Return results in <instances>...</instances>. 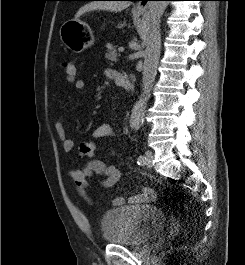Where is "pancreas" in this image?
Here are the masks:
<instances>
[{
  "label": "pancreas",
  "instance_id": "obj_1",
  "mask_svg": "<svg viewBox=\"0 0 245 265\" xmlns=\"http://www.w3.org/2000/svg\"><path fill=\"white\" fill-rule=\"evenodd\" d=\"M106 47H107V53L105 54V58L112 62H117L118 54L116 51V46H113L112 44L108 43Z\"/></svg>",
  "mask_w": 245,
  "mask_h": 265
}]
</instances>
